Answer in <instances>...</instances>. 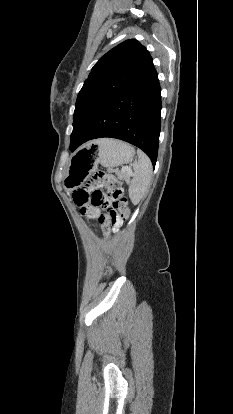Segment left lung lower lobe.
<instances>
[{
  "instance_id": "left-lung-lower-lobe-1",
  "label": "left lung lower lobe",
  "mask_w": 233,
  "mask_h": 414,
  "mask_svg": "<svg viewBox=\"0 0 233 414\" xmlns=\"http://www.w3.org/2000/svg\"><path fill=\"white\" fill-rule=\"evenodd\" d=\"M161 88L154 66L121 92L96 103L73 122L70 150L102 137L143 150L155 166L158 153Z\"/></svg>"
}]
</instances>
